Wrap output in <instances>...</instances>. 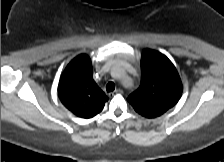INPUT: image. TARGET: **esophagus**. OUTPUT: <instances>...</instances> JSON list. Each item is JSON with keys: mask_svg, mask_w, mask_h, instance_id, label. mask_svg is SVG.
Segmentation results:
<instances>
[{"mask_svg": "<svg viewBox=\"0 0 224 162\" xmlns=\"http://www.w3.org/2000/svg\"><path fill=\"white\" fill-rule=\"evenodd\" d=\"M121 93H123V91L121 89H116L115 91L111 92L109 95L114 96L116 94H121Z\"/></svg>", "mask_w": 224, "mask_h": 162, "instance_id": "obj_1", "label": "esophagus"}]
</instances>
